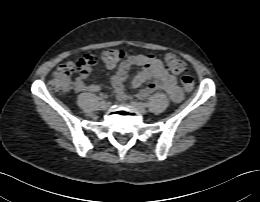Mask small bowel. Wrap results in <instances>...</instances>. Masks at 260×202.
Instances as JSON below:
<instances>
[{"label":"small bowel","instance_id":"c3829d8e","mask_svg":"<svg viewBox=\"0 0 260 202\" xmlns=\"http://www.w3.org/2000/svg\"><path fill=\"white\" fill-rule=\"evenodd\" d=\"M135 66L141 69L133 77L131 82L132 87L138 88L144 83L149 82L137 94L138 98L145 99L156 91H164L174 102H179L182 99L183 94L177 84L176 78L166 70L161 60L153 55H131L120 63L116 72L111 77V82L118 99L122 101L128 99L125 91V81L130 70ZM90 75V69L81 71L75 82V90L77 92H98L101 90L100 85H87L85 83V79Z\"/></svg>","mask_w":260,"mask_h":202}]
</instances>
